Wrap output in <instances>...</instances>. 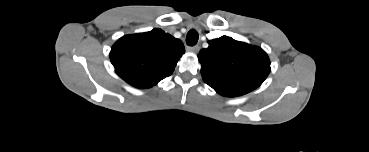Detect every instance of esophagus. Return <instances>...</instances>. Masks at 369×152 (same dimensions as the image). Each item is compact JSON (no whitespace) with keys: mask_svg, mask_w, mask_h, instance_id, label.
<instances>
[{"mask_svg":"<svg viewBox=\"0 0 369 152\" xmlns=\"http://www.w3.org/2000/svg\"><path fill=\"white\" fill-rule=\"evenodd\" d=\"M187 50L193 53H197L200 50V46L199 45L189 46L187 47Z\"/></svg>","mask_w":369,"mask_h":152,"instance_id":"34e87169","label":"esophagus"}]
</instances>
